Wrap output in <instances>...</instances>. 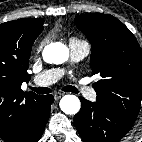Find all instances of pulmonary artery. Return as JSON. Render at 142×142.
Segmentation results:
<instances>
[{"mask_svg": "<svg viewBox=\"0 0 142 142\" xmlns=\"http://www.w3.org/2000/svg\"><path fill=\"white\" fill-rule=\"evenodd\" d=\"M69 48L71 62L81 61L90 52V46L85 41H70ZM63 75L64 69L53 68L36 75L33 81L38 86H48L57 82ZM76 88L85 98L92 101L96 99V92L92 88L82 84Z\"/></svg>", "mask_w": 142, "mask_h": 142, "instance_id": "1", "label": "pulmonary artery"}]
</instances>
